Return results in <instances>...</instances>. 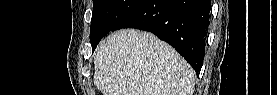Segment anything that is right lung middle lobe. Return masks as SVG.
<instances>
[{
	"instance_id": "obj_1",
	"label": "right lung middle lobe",
	"mask_w": 277,
	"mask_h": 95,
	"mask_svg": "<svg viewBox=\"0 0 277 95\" xmlns=\"http://www.w3.org/2000/svg\"><path fill=\"white\" fill-rule=\"evenodd\" d=\"M144 0H93L90 42L94 49L109 31Z\"/></svg>"
}]
</instances>
